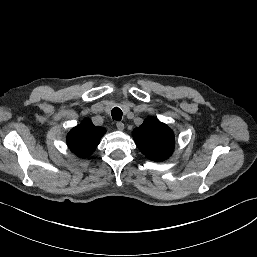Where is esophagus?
Here are the masks:
<instances>
[{"instance_id": "1", "label": "esophagus", "mask_w": 257, "mask_h": 257, "mask_svg": "<svg viewBox=\"0 0 257 257\" xmlns=\"http://www.w3.org/2000/svg\"><path fill=\"white\" fill-rule=\"evenodd\" d=\"M116 127H117V129H118L119 131H123L124 128H125V126H124V124H123L122 122H117V123H116Z\"/></svg>"}]
</instances>
